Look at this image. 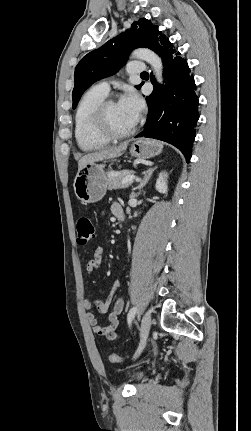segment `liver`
Masks as SVG:
<instances>
[{
	"label": "liver",
	"mask_w": 251,
	"mask_h": 431,
	"mask_svg": "<svg viewBox=\"0 0 251 431\" xmlns=\"http://www.w3.org/2000/svg\"><path fill=\"white\" fill-rule=\"evenodd\" d=\"M128 141L111 148L101 149L89 154L84 155L78 162V170L82 169L86 164L103 161L106 159H113L121 156L127 149Z\"/></svg>",
	"instance_id": "1"
}]
</instances>
